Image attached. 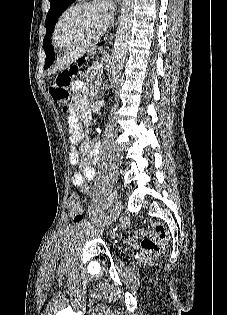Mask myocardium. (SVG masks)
Instances as JSON below:
<instances>
[{"instance_id": "obj_1", "label": "myocardium", "mask_w": 227, "mask_h": 315, "mask_svg": "<svg viewBox=\"0 0 227 315\" xmlns=\"http://www.w3.org/2000/svg\"><path fill=\"white\" fill-rule=\"evenodd\" d=\"M83 6H95V7H99L101 8L100 6V2L99 0H79L73 4H71L70 6H68L58 17L56 23H55V26H54V29H53V33H52V44L53 46L57 49V50H60V51H69V50H73V49H76V48H79V47H82V46H85L95 40H97L98 38H100L103 33L106 31V29L108 28L109 26V23H110V18L104 14L105 16V22L103 23V25L101 26V28L92 36H90L89 38L79 42V43H76L74 45H70V46H66V47H61L58 45L57 43V34H58V30H59V27L64 19V17L70 12L72 11L73 9H76V8H79V7H83Z\"/></svg>"}]
</instances>
